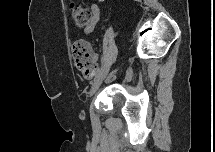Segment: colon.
Instances as JSON below:
<instances>
[{
    "label": "colon",
    "mask_w": 215,
    "mask_h": 152,
    "mask_svg": "<svg viewBox=\"0 0 215 152\" xmlns=\"http://www.w3.org/2000/svg\"><path fill=\"white\" fill-rule=\"evenodd\" d=\"M72 16L77 26L84 27L90 22V13L82 7L72 4ZM71 54L76 68L86 79L92 78L98 71L95 54L91 43L84 39L76 40L71 45Z\"/></svg>",
    "instance_id": "obj_1"
}]
</instances>
